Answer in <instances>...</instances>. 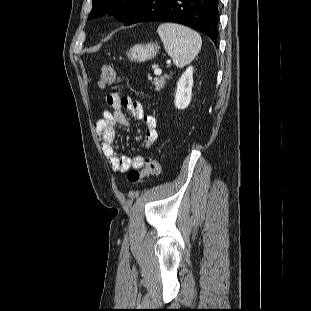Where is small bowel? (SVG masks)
Returning <instances> with one entry per match:
<instances>
[{
	"instance_id": "c3829d8e",
	"label": "small bowel",
	"mask_w": 311,
	"mask_h": 311,
	"mask_svg": "<svg viewBox=\"0 0 311 311\" xmlns=\"http://www.w3.org/2000/svg\"><path fill=\"white\" fill-rule=\"evenodd\" d=\"M106 103L110 110L103 112L102 118L96 122V131L102 140L104 154L114 172H126L130 169H141L145 158L142 155L134 157L121 156L115 148L116 126L129 125L122 109L128 110L135 118L142 119L146 125L144 142L147 147L153 145L158 138V120L153 115H146L141 102L128 96L110 93L106 96Z\"/></svg>"
}]
</instances>
